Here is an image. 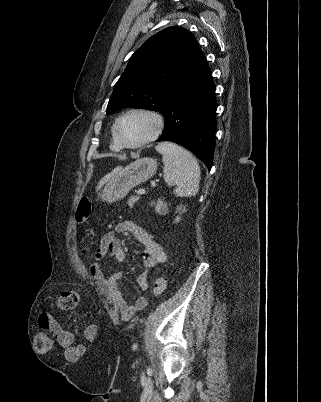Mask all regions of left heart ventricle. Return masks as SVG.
Here are the masks:
<instances>
[{
    "mask_svg": "<svg viewBox=\"0 0 321 402\" xmlns=\"http://www.w3.org/2000/svg\"><path fill=\"white\" fill-rule=\"evenodd\" d=\"M153 129L154 122L149 116L131 114L120 122L118 131L123 142L134 144L150 135Z\"/></svg>",
    "mask_w": 321,
    "mask_h": 402,
    "instance_id": "left-heart-ventricle-1",
    "label": "left heart ventricle"
}]
</instances>
